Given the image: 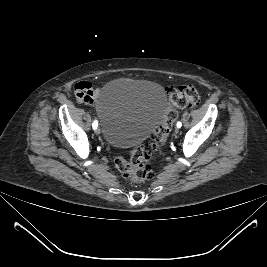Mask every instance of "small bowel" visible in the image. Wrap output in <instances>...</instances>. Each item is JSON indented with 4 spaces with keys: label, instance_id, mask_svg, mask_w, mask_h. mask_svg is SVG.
<instances>
[{
    "label": "small bowel",
    "instance_id": "obj_1",
    "mask_svg": "<svg viewBox=\"0 0 267 267\" xmlns=\"http://www.w3.org/2000/svg\"><path fill=\"white\" fill-rule=\"evenodd\" d=\"M76 98L83 103H92L95 91L89 82H78L74 87Z\"/></svg>",
    "mask_w": 267,
    "mask_h": 267
}]
</instances>
